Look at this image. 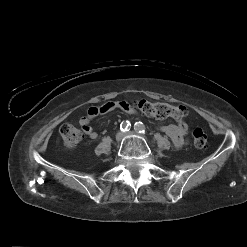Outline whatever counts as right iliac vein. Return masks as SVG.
Listing matches in <instances>:
<instances>
[{
    "instance_id": "obj_1",
    "label": "right iliac vein",
    "mask_w": 247,
    "mask_h": 247,
    "mask_svg": "<svg viewBox=\"0 0 247 247\" xmlns=\"http://www.w3.org/2000/svg\"><path fill=\"white\" fill-rule=\"evenodd\" d=\"M123 138V133L122 132H118L116 134V141L119 143Z\"/></svg>"
}]
</instances>
